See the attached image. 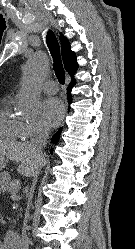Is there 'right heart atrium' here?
I'll return each instance as SVG.
<instances>
[{"mask_svg":"<svg viewBox=\"0 0 135 249\" xmlns=\"http://www.w3.org/2000/svg\"><path fill=\"white\" fill-rule=\"evenodd\" d=\"M47 132L46 127L40 122L24 123V137L33 138Z\"/></svg>","mask_w":135,"mask_h":249,"instance_id":"d8ad5b80","label":"right heart atrium"}]
</instances>
